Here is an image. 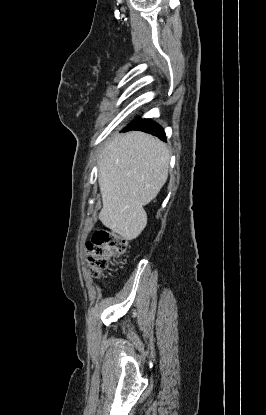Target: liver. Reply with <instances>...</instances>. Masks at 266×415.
I'll use <instances>...</instances> for the list:
<instances>
[{
  "label": "liver",
  "mask_w": 266,
  "mask_h": 415,
  "mask_svg": "<svg viewBox=\"0 0 266 415\" xmlns=\"http://www.w3.org/2000/svg\"><path fill=\"white\" fill-rule=\"evenodd\" d=\"M169 160L166 144L143 132L116 133L106 142L98 174L104 226L126 240L139 236L147 224L143 206L167 181Z\"/></svg>",
  "instance_id": "6515ba94"
}]
</instances>
